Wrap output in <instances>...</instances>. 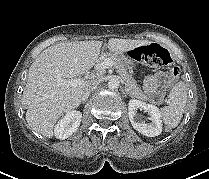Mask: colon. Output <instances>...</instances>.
I'll return each instance as SVG.
<instances>
[{
	"label": "colon",
	"mask_w": 209,
	"mask_h": 179,
	"mask_svg": "<svg viewBox=\"0 0 209 179\" xmlns=\"http://www.w3.org/2000/svg\"><path fill=\"white\" fill-rule=\"evenodd\" d=\"M129 55L134 60L152 67L166 66L171 62L169 52L157 44L135 47L129 52ZM179 74L180 70L178 67L171 69L167 85L165 86L166 91L178 80Z\"/></svg>",
	"instance_id": "colon-1"
}]
</instances>
